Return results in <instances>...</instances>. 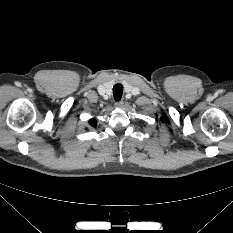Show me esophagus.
Returning <instances> with one entry per match:
<instances>
[{
	"mask_svg": "<svg viewBox=\"0 0 233 233\" xmlns=\"http://www.w3.org/2000/svg\"><path fill=\"white\" fill-rule=\"evenodd\" d=\"M123 101H117V102H115V107L116 108H122L123 107Z\"/></svg>",
	"mask_w": 233,
	"mask_h": 233,
	"instance_id": "34e87169",
	"label": "esophagus"
}]
</instances>
